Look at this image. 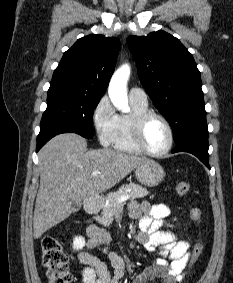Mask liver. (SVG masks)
<instances>
[{
  "label": "liver",
  "mask_w": 233,
  "mask_h": 283,
  "mask_svg": "<svg viewBox=\"0 0 233 283\" xmlns=\"http://www.w3.org/2000/svg\"><path fill=\"white\" fill-rule=\"evenodd\" d=\"M38 157L40 187L33 216L35 239L68 218L74 203L112 188L149 161L111 149L88 151L86 140L74 133L53 137ZM94 171L100 174L92 176Z\"/></svg>",
  "instance_id": "1"
}]
</instances>
